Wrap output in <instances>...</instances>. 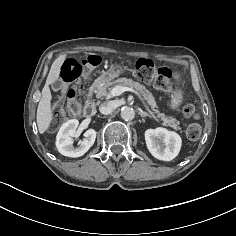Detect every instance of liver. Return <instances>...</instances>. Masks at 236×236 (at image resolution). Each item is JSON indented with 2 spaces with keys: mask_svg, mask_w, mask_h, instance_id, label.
<instances>
[{
  "mask_svg": "<svg viewBox=\"0 0 236 236\" xmlns=\"http://www.w3.org/2000/svg\"><path fill=\"white\" fill-rule=\"evenodd\" d=\"M86 54L94 55V53H86ZM66 57L67 56L65 54L60 55L53 62L48 77L46 79L45 86L42 89L41 93L42 96L38 104L37 116H36L38 130L41 134H43L48 129L53 117L51 110L52 95L49 85L55 82L59 78L60 68L63 62L65 61Z\"/></svg>",
  "mask_w": 236,
  "mask_h": 236,
  "instance_id": "6515ba94",
  "label": "liver"
}]
</instances>
